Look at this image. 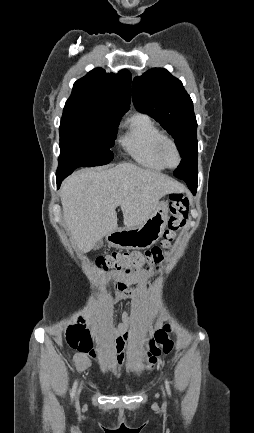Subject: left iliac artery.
Here are the masks:
<instances>
[{"mask_svg":"<svg viewBox=\"0 0 254 433\" xmlns=\"http://www.w3.org/2000/svg\"><path fill=\"white\" fill-rule=\"evenodd\" d=\"M165 386H166V390H167L168 395H171V390H170L169 382L167 379L165 380Z\"/></svg>","mask_w":254,"mask_h":433,"instance_id":"left-iliac-artery-1","label":"left iliac artery"}]
</instances>
